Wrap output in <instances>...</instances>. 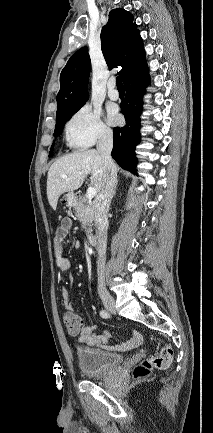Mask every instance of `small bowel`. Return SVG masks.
I'll list each match as a JSON object with an SVG mask.
<instances>
[{
  "label": "small bowel",
  "instance_id": "obj_1",
  "mask_svg": "<svg viewBox=\"0 0 213 433\" xmlns=\"http://www.w3.org/2000/svg\"><path fill=\"white\" fill-rule=\"evenodd\" d=\"M72 227V221L69 218H63L56 229L53 250L58 269L67 274V281L64 282L62 287V298L63 304L66 308H71L72 301L69 296V291L72 287V277L70 274L71 261L64 254V241L69 234ZM75 246L79 247L80 242L76 241ZM95 325H84L77 332L78 342L86 344L90 347H98L110 351H128L132 348L139 346L142 342V336L139 332L134 331L130 338L120 345H111L109 343L110 334L108 332H102L96 334Z\"/></svg>",
  "mask_w": 213,
  "mask_h": 433
}]
</instances>
